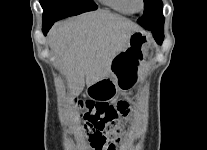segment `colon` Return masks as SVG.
<instances>
[{"instance_id": "obj_1", "label": "colon", "mask_w": 207, "mask_h": 150, "mask_svg": "<svg viewBox=\"0 0 207 150\" xmlns=\"http://www.w3.org/2000/svg\"><path fill=\"white\" fill-rule=\"evenodd\" d=\"M77 106L90 132L95 150H116L126 131L120 117L129 111V103L120 100L116 105L102 101L79 100Z\"/></svg>"}]
</instances>
